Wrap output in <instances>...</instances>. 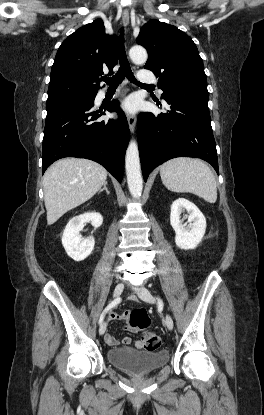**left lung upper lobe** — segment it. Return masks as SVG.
I'll return each instance as SVG.
<instances>
[{"mask_svg":"<svg viewBox=\"0 0 264 415\" xmlns=\"http://www.w3.org/2000/svg\"><path fill=\"white\" fill-rule=\"evenodd\" d=\"M136 41L147 49L144 68L159 78L163 99L181 92L208 95L203 61L188 35L173 25L151 20L142 26Z\"/></svg>","mask_w":264,"mask_h":415,"instance_id":"1","label":"left lung upper lobe"}]
</instances>
